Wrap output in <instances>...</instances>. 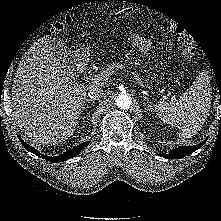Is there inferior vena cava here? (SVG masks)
<instances>
[{
    "mask_svg": "<svg viewBox=\"0 0 221 221\" xmlns=\"http://www.w3.org/2000/svg\"><path fill=\"white\" fill-rule=\"evenodd\" d=\"M105 94L106 93L104 92V90L95 87H92L88 92V96L91 99H96V100L102 99L105 96Z\"/></svg>",
    "mask_w": 221,
    "mask_h": 221,
    "instance_id": "inferior-vena-cava-1",
    "label": "inferior vena cava"
}]
</instances>
